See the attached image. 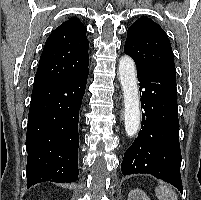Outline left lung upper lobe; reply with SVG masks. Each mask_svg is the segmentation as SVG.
<instances>
[{
    "label": "left lung upper lobe",
    "mask_w": 201,
    "mask_h": 200,
    "mask_svg": "<svg viewBox=\"0 0 201 200\" xmlns=\"http://www.w3.org/2000/svg\"><path fill=\"white\" fill-rule=\"evenodd\" d=\"M124 52L137 70H175L170 41L165 31L148 17L136 20L127 30Z\"/></svg>",
    "instance_id": "left-lung-upper-lobe-1"
}]
</instances>
